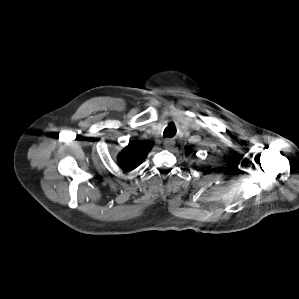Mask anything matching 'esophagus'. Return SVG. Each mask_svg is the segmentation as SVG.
I'll list each match as a JSON object with an SVG mask.
<instances>
[{
    "mask_svg": "<svg viewBox=\"0 0 299 299\" xmlns=\"http://www.w3.org/2000/svg\"><path fill=\"white\" fill-rule=\"evenodd\" d=\"M175 144L174 140L171 139V138H167L165 141H164V146L166 149H171L173 147V145Z\"/></svg>",
    "mask_w": 299,
    "mask_h": 299,
    "instance_id": "esophagus-1",
    "label": "esophagus"
}]
</instances>
